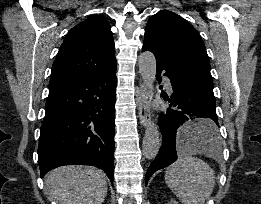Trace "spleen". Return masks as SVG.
I'll return each instance as SVG.
<instances>
[{
    "label": "spleen",
    "instance_id": "3e777b00",
    "mask_svg": "<svg viewBox=\"0 0 261 204\" xmlns=\"http://www.w3.org/2000/svg\"><path fill=\"white\" fill-rule=\"evenodd\" d=\"M201 122L203 121L186 123L181 127V132H190ZM191 148L214 154L219 149V138L215 141H199ZM165 181L183 204H205L215 186V175L207 163L187 154L180 156L175 163L167 168Z\"/></svg>",
    "mask_w": 261,
    "mask_h": 204
}]
</instances>
